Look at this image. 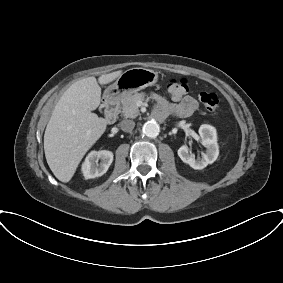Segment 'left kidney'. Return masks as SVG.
<instances>
[{"instance_id": "5707ae66", "label": "left kidney", "mask_w": 283, "mask_h": 283, "mask_svg": "<svg viewBox=\"0 0 283 283\" xmlns=\"http://www.w3.org/2000/svg\"><path fill=\"white\" fill-rule=\"evenodd\" d=\"M199 135L201 137L202 145L207 149L206 153L202 154L201 159L196 160L195 156L190 153L187 145H182L178 149V156L180 159L193 169L197 170H201L208 164L215 162L219 155L216 129L211 125L203 124L199 128Z\"/></svg>"}]
</instances>
